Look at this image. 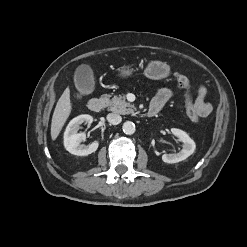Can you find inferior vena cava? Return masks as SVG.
I'll return each instance as SVG.
<instances>
[{
	"instance_id": "inferior-vena-cava-1",
	"label": "inferior vena cava",
	"mask_w": 247,
	"mask_h": 247,
	"mask_svg": "<svg viewBox=\"0 0 247 247\" xmlns=\"http://www.w3.org/2000/svg\"><path fill=\"white\" fill-rule=\"evenodd\" d=\"M107 120L112 125H117L122 121V117L119 114H116V113H109L107 115Z\"/></svg>"
}]
</instances>
